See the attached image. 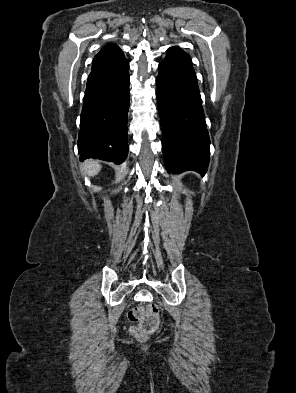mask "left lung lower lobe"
I'll return each mask as SVG.
<instances>
[{"mask_svg": "<svg viewBox=\"0 0 296 393\" xmlns=\"http://www.w3.org/2000/svg\"><path fill=\"white\" fill-rule=\"evenodd\" d=\"M159 69L157 99L165 167L168 173L205 174L210 139L191 58L182 50L168 49Z\"/></svg>", "mask_w": 296, "mask_h": 393, "instance_id": "0a47b994", "label": "left lung lower lobe"}]
</instances>
